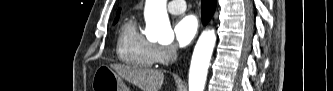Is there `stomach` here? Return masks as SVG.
Masks as SVG:
<instances>
[{
    "label": "stomach",
    "mask_w": 333,
    "mask_h": 91,
    "mask_svg": "<svg viewBox=\"0 0 333 91\" xmlns=\"http://www.w3.org/2000/svg\"><path fill=\"white\" fill-rule=\"evenodd\" d=\"M92 89L93 91H129L121 77L105 65L95 71Z\"/></svg>",
    "instance_id": "1"
}]
</instances>
